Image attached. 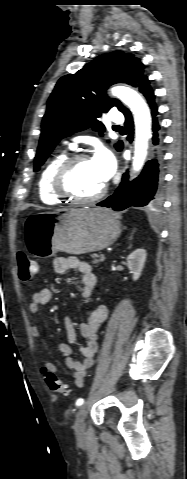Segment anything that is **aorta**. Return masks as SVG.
Returning a JSON list of instances; mask_svg holds the SVG:
<instances>
[{"label":"aorta","instance_id":"1","mask_svg":"<svg viewBox=\"0 0 187 479\" xmlns=\"http://www.w3.org/2000/svg\"><path fill=\"white\" fill-rule=\"evenodd\" d=\"M112 94L126 104L134 114L135 151L133 157L134 171L141 170L147 156L148 141L151 138V115L142 97L127 87H115Z\"/></svg>","mask_w":187,"mask_h":479}]
</instances>
